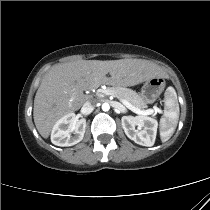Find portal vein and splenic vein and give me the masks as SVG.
Instances as JSON below:
<instances>
[{
	"label": "portal vein and splenic vein",
	"instance_id": "1",
	"mask_svg": "<svg viewBox=\"0 0 210 210\" xmlns=\"http://www.w3.org/2000/svg\"><path fill=\"white\" fill-rule=\"evenodd\" d=\"M97 95L102 97L103 95H113V93L111 91H108L107 89L106 90L99 89L97 92ZM113 96H115V95H113ZM115 97H117L120 100V102H122L129 110H131L137 114L150 115L153 112L157 111V109L139 110L138 108L134 107L131 103H129L127 100L122 99L118 96H115Z\"/></svg>",
	"mask_w": 210,
	"mask_h": 210
}]
</instances>
